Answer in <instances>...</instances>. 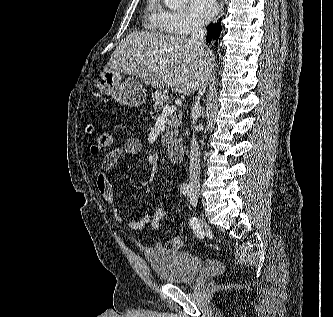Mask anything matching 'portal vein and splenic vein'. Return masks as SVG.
<instances>
[{
  "label": "portal vein and splenic vein",
  "mask_w": 333,
  "mask_h": 317,
  "mask_svg": "<svg viewBox=\"0 0 333 317\" xmlns=\"http://www.w3.org/2000/svg\"><path fill=\"white\" fill-rule=\"evenodd\" d=\"M174 111H176V106L173 105H165L162 110V115H170Z\"/></svg>",
  "instance_id": "obj_1"
}]
</instances>
